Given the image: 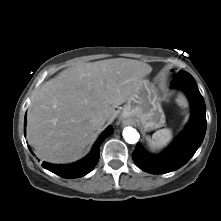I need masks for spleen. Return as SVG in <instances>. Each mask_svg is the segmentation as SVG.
Masks as SVG:
<instances>
[{
	"label": "spleen",
	"mask_w": 221,
	"mask_h": 221,
	"mask_svg": "<svg viewBox=\"0 0 221 221\" xmlns=\"http://www.w3.org/2000/svg\"><path fill=\"white\" fill-rule=\"evenodd\" d=\"M172 139V130L164 128L156 131L152 137L148 136L147 141L152 149H160L165 147Z\"/></svg>",
	"instance_id": "3e777b00"
}]
</instances>
